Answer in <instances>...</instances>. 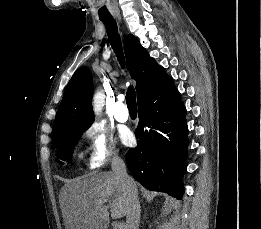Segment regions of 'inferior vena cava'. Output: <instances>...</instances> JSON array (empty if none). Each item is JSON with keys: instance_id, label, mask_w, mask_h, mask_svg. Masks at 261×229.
<instances>
[{"instance_id": "inferior-vena-cava-1", "label": "inferior vena cava", "mask_w": 261, "mask_h": 229, "mask_svg": "<svg viewBox=\"0 0 261 229\" xmlns=\"http://www.w3.org/2000/svg\"><path fill=\"white\" fill-rule=\"evenodd\" d=\"M112 173L119 177L125 195L128 197L127 229H139L140 205L136 185L127 175L126 165L120 157H113L111 163Z\"/></svg>"}]
</instances>
